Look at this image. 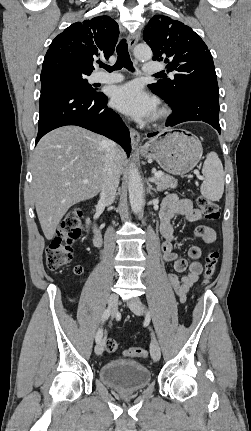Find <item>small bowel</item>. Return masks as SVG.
Returning a JSON list of instances; mask_svg holds the SVG:
<instances>
[{"label":"small bowel","mask_w":251,"mask_h":431,"mask_svg":"<svg viewBox=\"0 0 251 431\" xmlns=\"http://www.w3.org/2000/svg\"><path fill=\"white\" fill-rule=\"evenodd\" d=\"M180 215L190 222H197L202 219V213L194 208L192 201L189 199H180L177 195L171 194L167 196L161 205L160 210V232L164 238L161 244L162 258L165 262H172L176 273L168 275V281L174 292L179 297L181 302L187 298L189 290L198 281L203 267L199 262L202 251L198 246H191L188 250V256L193 261L188 263L185 259L178 258L173 251L174 229L172 219ZM195 235L206 243L216 241L215 231L205 225H200L195 229ZM185 272L180 276L179 273Z\"/></svg>","instance_id":"c3829d8e"}]
</instances>
